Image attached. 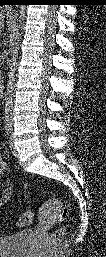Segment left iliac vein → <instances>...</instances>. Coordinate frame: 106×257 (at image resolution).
<instances>
[{"mask_svg": "<svg viewBox=\"0 0 106 257\" xmlns=\"http://www.w3.org/2000/svg\"><path fill=\"white\" fill-rule=\"evenodd\" d=\"M9 147L12 151V153H16V148H15V145H14V141H13V136L11 135L10 138H9Z\"/></svg>", "mask_w": 106, "mask_h": 257, "instance_id": "left-iliac-vein-1", "label": "left iliac vein"}]
</instances>
